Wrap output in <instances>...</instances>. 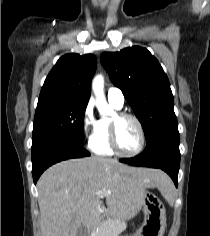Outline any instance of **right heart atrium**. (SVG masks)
<instances>
[{"label": "right heart atrium", "instance_id": "obj_1", "mask_svg": "<svg viewBox=\"0 0 210 236\" xmlns=\"http://www.w3.org/2000/svg\"><path fill=\"white\" fill-rule=\"evenodd\" d=\"M81 123L84 136L91 140L98 127V120L95 117L94 106L91 101L84 108Z\"/></svg>", "mask_w": 210, "mask_h": 236}]
</instances>
